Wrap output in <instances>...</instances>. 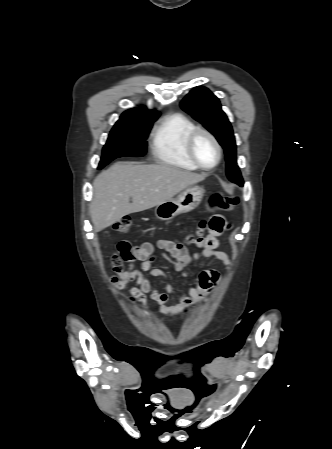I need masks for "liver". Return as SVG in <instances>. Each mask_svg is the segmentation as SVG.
Masks as SVG:
<instances>
[{
    "label": "liver",
    "mask_w": 332,
    "mask_h": 449,
    "mask_svg": "<svg viewBox=\"0 0 332 449\" xmlns=\"http://www.w3.org/2000/svg\"><path fill=\"white\" fill-rule=\"evenodd\" d=\"M205 177L167 164L115 163L93 182L89 212L94 228L99 232L127 214L160 205Z\"/></svg>",
    "instance_id": "liver-1"
}]
</instances>
